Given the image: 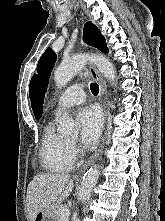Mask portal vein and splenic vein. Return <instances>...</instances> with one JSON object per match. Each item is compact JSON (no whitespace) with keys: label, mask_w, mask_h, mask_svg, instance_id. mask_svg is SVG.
Segmentation results:
<instances>
[{"label":"portal vein and splenic vein","mask_w":165,"mask_h":221,"mask_svg":"<svg viewBox=\"0 0 165 221\" xmlns=\"http://www.w3.org/2000/svg\"><path fill=\"white\" fill-rule=\"evenodd\" d=\"M60 215L63 221H68L69 215H70V211L67 207H64L61 211H60Z\"/></svg>","instance_id":"obj_1"}]
</instances>
